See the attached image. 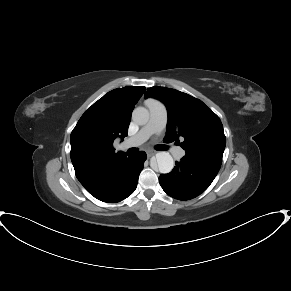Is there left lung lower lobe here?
Listing matches in <instances>:
<instances>
[{"label": "left lung lower lobe", "mask_w": 291, "mask_h": 291, "mask_svg": "<svg viewBox=\"0 0 291 291\" xmlns=\"http://www.w3.org/2000/svg\"><path fill=\"white\" fill-rule=\"evenodd\" d=\"M221 166L183 157L168 174H161L163 190L179 200L192 199L203 193L216 177Z\"/></svg>", "instance_id": "left-lung-lower-lobe-1"}]
</instances>
